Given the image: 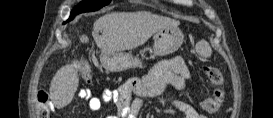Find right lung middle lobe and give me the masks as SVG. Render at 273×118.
I'll use <instances>...</instances> for the list:
<instances>
[{
    "mask_svg": "<svg viewBox=\"0 0 273 118\" xmlns=\"http://www.w3.org/2000/svg\"><path fill=\"white\" fill-rule=\"evenodd\" d=\"M110 2L111 0H83L71 11L70 17L67 22L71 21L78 14L97 11L100 8L108 5Z\"/></svg>",
    "mask_w": 273,
    "mask_h": 118,
    "instance_id": "dd1d6c3e",
    "label": "right lung middle lobe"
}]
</instances>
